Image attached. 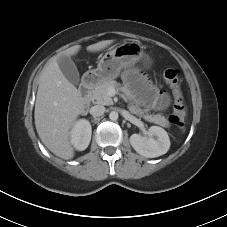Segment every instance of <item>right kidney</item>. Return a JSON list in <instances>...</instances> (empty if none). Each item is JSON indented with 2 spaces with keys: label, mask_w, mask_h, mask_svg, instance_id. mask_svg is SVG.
I'll use <instances>...</instances> for the list:
<instances>
[{
  "label": "right kidney",
  "mask_w": 227,
  "mask_h": 227,
  "mask_svg": "<svg viewBox=\"0 0 227 227\" xmlns=\"http://www.w3.org/2000/svg\"><path fill=\"white\" fill-rule=\"evenodd\" d=\"M71 143L76 150H85L91 140L92 128L86 119L76 121L71 129Z\"/></svg>",
  "instance_id": "obj_1"
}]
</instances>
